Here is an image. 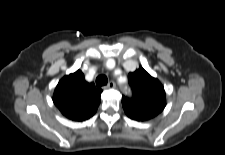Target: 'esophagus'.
<instances>
[{
  "label": "esophagus",
  "mask_w": 225,
  "mask_h": 155,
  "mask_svg": "<svg viewBox=\"0 0 225 155\" xmlns=\"http://www.w3.org/2000/svg\"><path fill=\"white\" fill-rule=\"evenodd\" d=\"M115 87H116V84L114 81H110L106 86V88L108 89H114Z\"/></svg>",
  "instance_id": "esophagus-1"
}]
</instances>
